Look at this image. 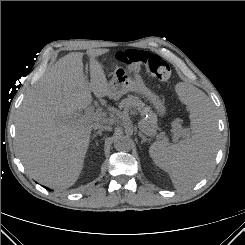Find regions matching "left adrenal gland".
<instances>
[{
  "instance_id": "left-adrenal-gland-1",
  "label": "left adrenal gland",
  "mask_w": 245,
  "mask_h": 245,
  "mask_svg": "<svg viewBox=\"0 0 245 245\" xmlns=\"http://www.w3.org/2000/svg\"><path fill=\"white\" fill-rule=\"evenodd\" d=\"M138 135L142 138L141 144L150 141V139H148L142 132L139 131V132H138Z\"/></svg>"
}]
</instances>
